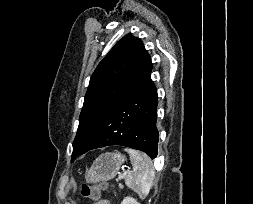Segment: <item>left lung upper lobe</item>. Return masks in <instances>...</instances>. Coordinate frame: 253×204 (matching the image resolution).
Returning <instances> with one entry per match:
<instances>
[{"label": "left lung upper lobe", "mask_w": 253, "mask_h": 204, "mask_svg": "<svg viewBox=\"0 0 253 204\" xmlns=\"http://www.w3.org/2000/svg\"><path fill=\"white\" fill-rule=\"evenodd\" d=\"M151 69L150 55L139 38L127 34L114 45L90 78L72 159L88 144L89 134L96 123L123 102Z\"/></svg>", "instance_id": "left-lung-upper-lobe-1"}]
</instances>
